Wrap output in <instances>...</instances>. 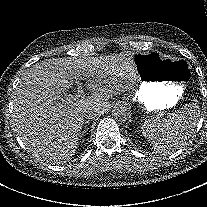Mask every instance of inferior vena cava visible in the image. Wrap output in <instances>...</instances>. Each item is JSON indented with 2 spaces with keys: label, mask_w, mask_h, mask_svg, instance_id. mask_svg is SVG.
I'll use <instances>...</instances> for the list:
<instances>
[{
  "label": "inferior vena cava",
  "mask_w": 207,
  "mask_h": 207,
  "mask_svg": "<svg viewBox=\"0 0 207 207\" xmlns=\"http://www.w3.org/2000/svg\"><path fill=\"white\" fill-rule=\"evenodd\" d=\"M100 111L99 110H96V113L95 114H97V113H99Z\"/></svg>",
  "instance_id": "inferior-vena-cava-1"
}]
</instances>
